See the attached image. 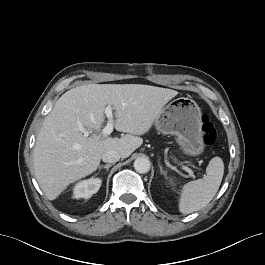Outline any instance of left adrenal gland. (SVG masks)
<instances>
[{
	"instance_id": "obj_1",
	"label": "left adrenal gland",
	"mask_w": 265,
	"mask_h": 265,
	"mask_svg": "<svg viewBox=\"0 0 265 265\" xmlns=\"http://www.w3.org/2000/svg\"><path fill=\"white\" fill-rule=\"evenodd\" d=\"M160 173L164 176L167 175V172L163 170L162 165L159 163Z\"/></svg>"
}]
</instances>
